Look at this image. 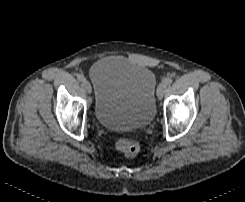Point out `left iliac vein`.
<instances>
[{"mask_svg":"<svg viewBox=\"0 0 245 202\" xmlns=\"http://www.w3.org/2000/svg\"><path fill=\"white\" fill-rule=\"evenodd\" d=\"M166 89H167V86H166V84H164V83H161V84L158 86V88H157V97H158L159 99H161V98L163 97V95H164Z\"/></svg>","mask_w":245,"mask_h":202,"instance_id":"4c4485c4","label":"left iliac vein"}]
</instances>
